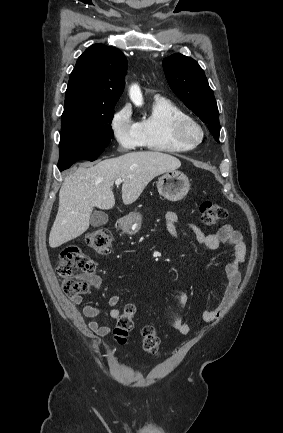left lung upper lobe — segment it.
Segmentation results:
<instances>
[{
    "mask_svg": "<svg viewBox=\"0 0 283 433\" xmlns=\"http://www.w3.org/2000/svg\"><path fill=\"white\" fill-rule=\"evenodd\" d=\"M166 79L173 92L203 122L208 123L214 139L219 142V113L204 71L198 63L182 54L163 60Z\"/></svg>",
    "mask_w": 283,
    "mask_h": 433,
    "instance_id": "5c2ea615",
    "label": "left lung upper lobe"
}]
</instances>
